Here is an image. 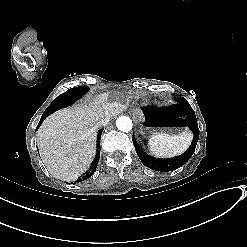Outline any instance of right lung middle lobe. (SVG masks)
Returning a JSON list of instances; mask_svg holds the SVG:
<instances>
[{"label": "right lung middle lobe", "mask_w": 247, "mask_h": 247, "mask_svg": "<svg viewBox=\"0 0 247 247\" xmlns=\"http://www.w3.org/2000/svg\"><path fill=\"white\" fill-rule=\"evenodd\" d=\"M88 91V87L80 86L68 89L65 93L59 95L44 111L43 114L50 115L54 111L66 107L73 103Z\"/></svg>", "instance_id": "right-lung-middle-lobe-1"}]
</instances>
